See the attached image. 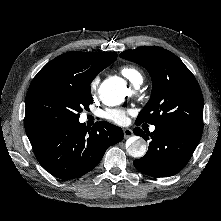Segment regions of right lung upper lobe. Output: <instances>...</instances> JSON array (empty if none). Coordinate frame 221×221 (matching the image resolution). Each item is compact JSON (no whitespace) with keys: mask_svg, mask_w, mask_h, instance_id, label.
<instances>
[{"mask_svg":"<svg viewBox=\"0 0 221 221\" xmlns=\"http://www.w3.org/2000/svg\"><path fill=\"white\" fill-rule=\"evenodd\" d=\"M117 58L114 52H67L47 63L34 77L31 85L40 79L91 82Z\"/></svg>","mask_w":221,"mask_h":221,"instance_id":"right-lung-upper-lobe-1","label":"right lung upper lobe"}]
</instances>
